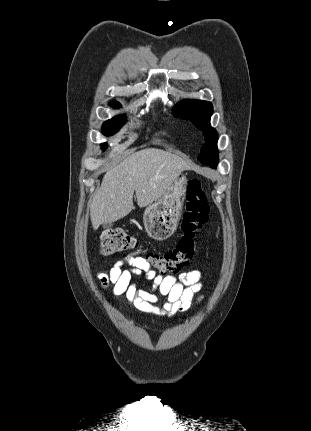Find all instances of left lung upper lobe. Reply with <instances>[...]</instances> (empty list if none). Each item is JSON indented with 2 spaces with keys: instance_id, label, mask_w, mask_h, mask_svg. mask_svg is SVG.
Instances as JSON below:
<instances>
[{
  "instance_id": "5c2ea615",
  "label": "left lung upper lobe",
  "mask_w": 311,
  "mask_h": 431,
  "mask_svg": "<svg viewBox=\"0 0 311 431\" xmlns=\"http://www.w3.org/2000/svg\"><path fill=\"white\" fill-rule=\"evenodd\" d=\"M213 106L202 100H184L174 108V116L190 119L197 128L203 131L206 143L202 146L198 160L215 168L218 164V134L210 125Z\"/></svg>"
}]
</instances>
